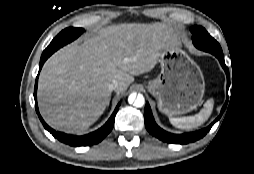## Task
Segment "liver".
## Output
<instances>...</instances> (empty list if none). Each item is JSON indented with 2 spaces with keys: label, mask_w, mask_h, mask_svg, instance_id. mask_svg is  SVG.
I'll use <instances>...</instances> for the list:
<instances>
[{
  "label": "liver",
  "mask_w": 254,
  "mask_h": 174,
  "mask_svg": "<svg viewBox=\"0 0 254 174\" xmlns=\"http://www.w3.org/2000/svg\"><path fill=\"white\" fill-rule=\"evenodd\" d=\"M177 45L166 24L129 23L101 28L82 44H69L45 62L38 83L41 115L55 130L86 131L104 112L115 79L123 93L152 70L161 50Z\"/></svg>",
  "instance_id": "6515ba94"
}]
</instances>
